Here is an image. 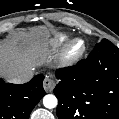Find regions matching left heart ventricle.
<instances>
[{
    "label": "left heart ventricle",
    "mask_w": 119,
    "mask_h": 119,
    "mask_svg": "<svg viewBox=\"0 0 119 119\" xmlns=\"http://www.w3.org/2000/svg\"><path fill=\"white\" fill-rule=\"evenodd\" d=\"M80 46H81V44L78 43V44L76 45V49H78Z\"/></svg>",
    "instance_id": "1"
}]
</instances>
